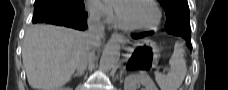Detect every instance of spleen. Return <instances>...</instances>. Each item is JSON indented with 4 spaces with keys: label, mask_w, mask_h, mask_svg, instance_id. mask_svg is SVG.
Masks as SVG:
<instances>
[{
    "label": "spleen",
    "mask_w": 228,
    "mask_h": 90,
    "mask_svg": "<svg viewBox=\"0 0 228 90\" xmlns=\"http://www.w3.org/2000/svg\"><path fill=\"white\" fill-rule=\"evenodd\" d=\"M169 66L168 74L156 73L155 80L161 90H178L187 72L184 50L180 44L175 45L174 52L169 60Z\"/></svg>",
    "instance_id": "3e777b00"
}]
</instances>
